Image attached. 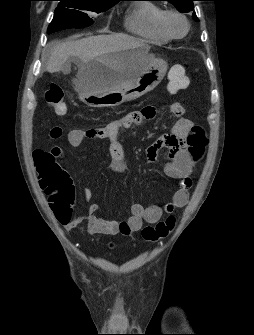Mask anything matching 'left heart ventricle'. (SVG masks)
I'll use <instances>...</instances> for the list:
<instances>
[{"label": "left heart ventricle", "instance_id": "obj_1", "mask_svg": "<svg viewBox=\"0 0 254 335\" xmlns=\"http://www.w3.org/2000/svg\"><path fill=\"white\" fill-rule=\"evenodd\" d=\"M166 25L169 31L174 35H181L186 29V25L182 19L177 16H169L166 19Z\"/></svg>", "mask_w": 254, "mask_h": 335}]
</instances>
